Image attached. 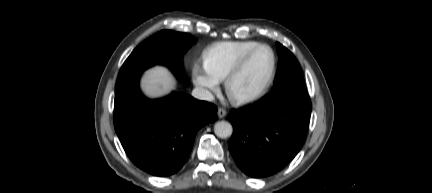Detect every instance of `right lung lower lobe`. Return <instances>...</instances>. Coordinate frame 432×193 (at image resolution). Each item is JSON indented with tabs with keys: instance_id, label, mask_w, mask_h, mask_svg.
Instances as JSON below:
<instances>
[{
	"instance_id": "right-lung-lower-lobe-1",
	"label": "right lung lower lobe",
	"mask_w": 432,
	"mask_h": 193,
	"mask_svg": "<svg viewBox=\"0 0 432 193\" xmlns=\"http://www.w3.org/2000/svg\"><path fill=\"white\" fill-rule=\"evenodd\" d=\"M141 74L116 84L115 131L137 167L156 176H169L184 165L197 131L216 120L217 108L182 92L150 100L139 89Z\"/></svg>"
}]
</instances>
